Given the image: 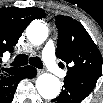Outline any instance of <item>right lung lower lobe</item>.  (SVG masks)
<instances>
[{
    "label": "right lung lower lobe",
    "mask_w": 103,
    "mask_h": 103,
    "mask_svg": "<svg viewBox=\"0 0 103 103\" xmlns=\"http://www.w3.org/2000/svg\"><path fill=\"white\" fill-rule=\"evenodd\" d=\"M37 71L30 66L20 68L19 71L12 76H6L0 79V103H11L18 83L23 78H32Z\"/></svg>",
    "instance_id": "right-lung-lower-lobe-1"
}]
</instances>
